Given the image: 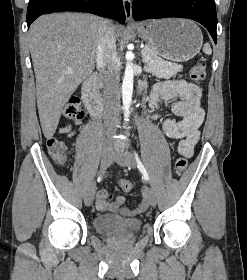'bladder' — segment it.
I'll list each match as a JSON object with an SVG mask.
<instances>
[{
	"label": "bladder",
	"instance_id": "1",
	"mask_svg": "<svg viewBox=\"0 0 247 280\" xmlns=\"http://www.w3.org/2000/svg\"><path fill=\"white\" fill-rule=\"evenodd\" d=\"M142 224L138 218H123L118 215H99L94 219L95 228L102 233L134 234L140 231Z\"/></svg>",
	"mask_w": 247,
	"mask_h": 280
}]
</instances>
